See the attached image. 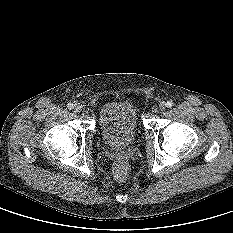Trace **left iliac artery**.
<instances>
[{
    "instance_id": "obj_1",
    "label": "left iliac artery",
    "mask_w": 233,
    "mask_h": 233,
    "mask_svg": "<svg viewBox=\"0 0 233 233\" xmlns=\"http://www.w3.org/2000/svg\"><path fill=\"white\" fill-rule=\"evenodd\" d=\"M166 106H167L168 108H171V107L173 106L172 101H167Z\"/></svg>"
}]
</instances>
